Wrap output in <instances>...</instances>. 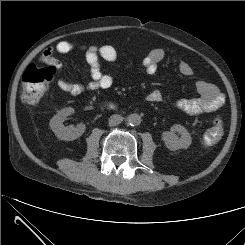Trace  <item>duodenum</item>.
I'll return each instance as SVG.
<instances>
[{"mask_svg":"<svg viewBox=\"0 0 245 245\" xmlns=\"http://www.w3.org/2000/svg\"><path fill=\"white\" fill-rule=\"evenodd\" d=\"M110 106H111V107H114V105H108V107H110Z\"/></svg>","mask_w":245,"mask_h":245,"instance_id":"obj_1","label":"duodenum"}]
</instances>
